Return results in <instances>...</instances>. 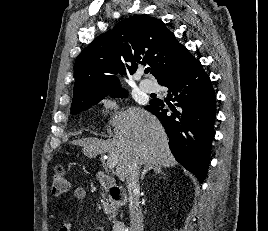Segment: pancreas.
<instances>
[{
    "label": "pancreas",
    "mask_w": 268,
    "mask_h": 231,
    "mask_svg": "<svg viewBox=\"0 0 268 231\" xmlns=\"http://www.w3.org/2000/svg\"><path fill=\"white\" fill-rule=\"evenodd\" d=\"M101 203L104 209L105 214L108 215L109 220H114L116 217L117 206L114 201H112L109 197L106 198V193L102 194Z\"/></svg>",
    "instance_id": "cf45deb5"
}]
</instances>
